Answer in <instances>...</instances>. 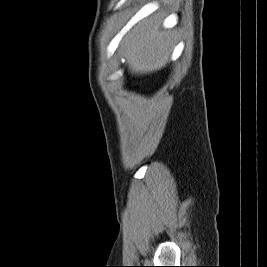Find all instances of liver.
Masks as SVG:
<instances>
[{"label": "liver", "instance_id": "liver-1", "mask_svg": "<svg viewBox=\"0 0 267 267\" xmlns=\"http://www.w3.org/2000/svg\"><path fill=\"white\" fill-rule=\"evenodd\" d=\"M163 17L156 14L135 25L121 40L120 50L132 74H148L162 69L170 59L175 34L166 30Z\"/></svg>", "mask_w": 267, "mask_h": 267}]
</instances>
